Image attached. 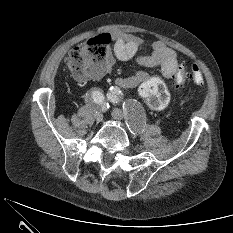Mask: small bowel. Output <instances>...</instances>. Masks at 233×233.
Here are the masks:
<instances>
[{"label":"small bowel","mask_w":233,"mask_h":233,"mask_svg":"<svg viewBox=\"0 0 233 233\" xmlns=\"http://www.w3.org/2000/svg\"><path fill=\"white\" fill-rule=\"evenodd\" d=\"M111 38L114 44L112 49L107 52L105 66L100 75L108 73L111 70L115 59L126 61L136 56L143 45L141 38L128 33L115 32L111 35ZM137 62L144 67L159 66L163 76L167 79H171L181 66L176 52L161 41L154 42L152 52L147 55L138 56ZM147 79V73L138 71L131 76L118 78L116 84L123 89H129L140 85Z\"/></svg>","instance_id":"obj_1"}]
</instances>
